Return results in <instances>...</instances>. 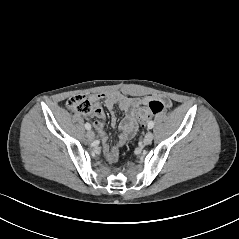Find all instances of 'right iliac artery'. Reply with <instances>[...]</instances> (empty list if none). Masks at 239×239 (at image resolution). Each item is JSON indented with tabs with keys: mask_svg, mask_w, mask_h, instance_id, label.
I'll return each instance as SVG.
<instances>
[{
	"mask_svg": "<svg viewBox=\"0 0 239 239\" xmlns=\"http://www.w3.org/2000/svg\"><path fill=\"white\" fill-rule=\"evenodd\" d=\"M85 128H86L87 130H90V129H91V125H90L89 123H86V124H85Z\"/></svg>",
	"mask_w": 239,
	"mask_h": 239,
	"instance_id": "82829eb1",
	"label": "right iliac artery"
}]
</instances>
